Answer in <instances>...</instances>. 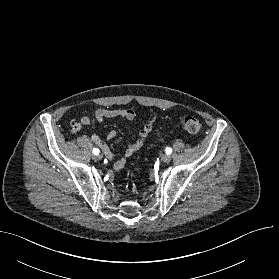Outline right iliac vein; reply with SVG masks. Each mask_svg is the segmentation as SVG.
Returning <instances> with one entry per match:
<instances>
[{
  "label": "right iliac vein",
  "instance_id": "right-iliac-vein-1",
  "mask_svg": "<svg viewBox=\"0 0 279 279\" xmlns=\"http://www.w3.org/2000/svg\"><path fill=\"white\" fill-rule=\"evenodd\" d=\"M103 158V156L101 154H97L94 156L95 160H101Z\"/></svg>",
  "mask_w": 279,
  "mask_h": 279
}]
</instances>
